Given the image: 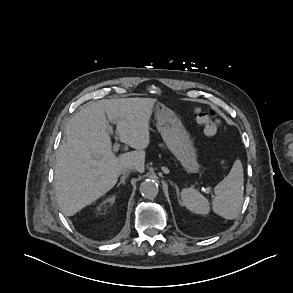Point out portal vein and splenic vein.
<instances>
[{
	"instance_id": "1",
	"label": "portal vein and splenic vein",
	"mask_w": 293,
	"mask_h": 293,
	"mask_svg": "<svg viewBox=\"0 0 293 293\" xmlns=\"http://www.w3.org/2000/svg\"><path fill=\"white\" fill-rule=\"evenodd\" d=\"M119 150V144L115 143L113 146V152H117Z\"/></svg>"
}]
</instances>
